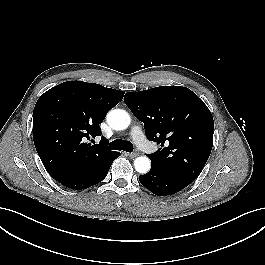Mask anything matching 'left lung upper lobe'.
Wrapping results in <instances>:
<instances>
[{
    "instance_id": "5c2ea615",
    "label": "left lung upper lobe",
    "mask_w": 265,
    "mask_h": 265,
    "mask_svg": "<svg viewBox=\"0 0 265 265\" xmlns=\"http://www.w3.org/2000/svg\"><path fill=\"white\" fill-rule=\"evenodd\" d=\"M124 101L144 123L146 137L161 144L157 152L147 154L152 165L194 181L213 146L214 121L204 102L180 86L128 92Z\"/></svg>"
}]
</instances>
